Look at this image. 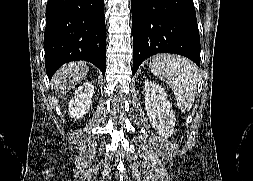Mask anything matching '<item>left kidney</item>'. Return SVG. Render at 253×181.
I'll return each mask as SVG.
<instances>
[{
    "label": "left kidney",
    "mask_w": 253,
    "mask_h": 181,
    "mask_svg": "<svg viewBox=\"0 0 253 181\" xmlns=\"http://www.w3.org/2000/svg\"><path fill=\"white\" fill-rule=\"evenodd\" d=\"M145 108L149 120L162 137H170L175 127V116L167 93L161 86L151 81H145Z\"/></svg>",
    "instance_id": "left-kidney-1"
}]
</instances>
